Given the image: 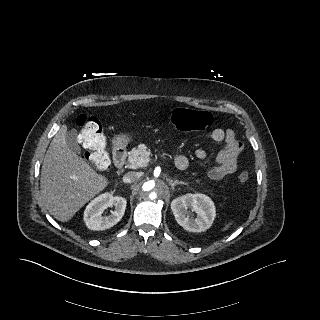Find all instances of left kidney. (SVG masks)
Segmentation results:
<instances>
[{"mask_svg": "<svg viewBox=\"0 0 320 320\" xmlns=\"http://www.w3.org/2000/svg\"><path fill=\"white\" fill-rule=\"evenodd\" d=\"M171 210L177 223L190 232H204L210 228L216 216L213 201L204 194H186L171 202ZM197 217L194 218L192 213Z\"/></svg>", "mask_w": 320, "mask_h": 320, "instance_id": "1", "label": "left kidney"}]
</instances>
